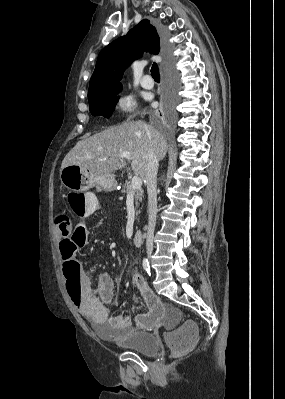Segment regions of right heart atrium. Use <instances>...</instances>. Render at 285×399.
Segmentation results:
<instances>
[{
  "label": "right heart atrium",
  "instance_id": "d8ad5b80",
  "mask_svg": "<svg viewBox=\"0 0 285 399\" xmlns=\"http://www.w3.org/2000/svg\"><path fill=\"white\" fill-rule=\"evenodd\" d=\"M116 108L126 118H133L138 113L136 100L129 93H124L116 99Z\"/></svg>",
  "mask_w": 285,
  "mask_h": 399
}]
</instances>
